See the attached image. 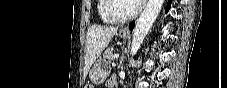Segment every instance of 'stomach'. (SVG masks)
<instances>
[{"label": "stomach", "mask_w": 227, "mask_h": 88, "mask_svg": "<svg viewBox=\"0 0 227 88\" xmlns=\"http://www.w3.org/2000/svg\"><path fill=\"white\" fill-rule=\"evenodd\" d=\"M120 37L126 39L129 37V33L126 31H120ZM108 74L106 67L102 60H98L89 72V77L94 84H101L104 82Z\"/></svg>", "instance_id": "1"}]
</instances>
